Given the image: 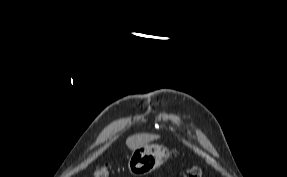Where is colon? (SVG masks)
I'll return each instance as SVG.
<instances>
[{
  "label": "colon",
  "instance_id": "colon-1",
  "mask_svg": "<svg viewBox=\"0 0 287 177\" xmlns=\"http://www.w3.org/2000/svg\"><path fill=\"white\" fill-rule=\"evenodd\" d=\"M94 177H111L110 167L99 166L94 171ZM184 177H202V170L199 167H190L185 170Z\"/></svg>",
  "mask_w": 287,
  "mask_h": 177
}]
</instances>
